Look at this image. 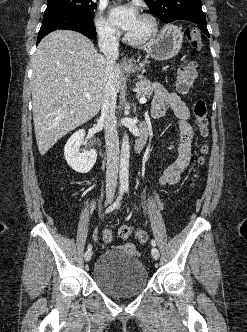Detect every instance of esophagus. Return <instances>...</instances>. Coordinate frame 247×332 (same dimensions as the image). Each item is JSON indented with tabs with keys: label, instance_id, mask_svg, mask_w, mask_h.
Masks as SVG:
<instances>
[{
	"label": "esophagus",
	"instance_id": "esophagus-1",
	"mask_svg": "<svg viewBox=\"0 0 247 332\" xmlns=\"http://www.w3.org/2000/svg\"><path fill=\"white\" fill-rule=\"evenodd\" d=\"M121 65L124 67L131 66L132 60L128 56H124L121 60Z\"/></svg>",
	"mask_w": 247,
	"mask_h": 332
}]
</instances>
